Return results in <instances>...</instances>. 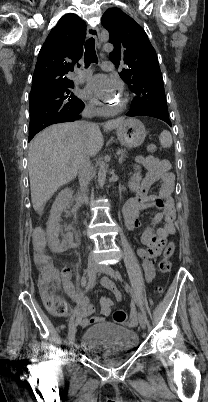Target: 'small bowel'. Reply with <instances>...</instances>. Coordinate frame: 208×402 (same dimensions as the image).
Returning a JSON list of instances; mask_svg holds the SVG:
<instances>
[{
	"label": "small bowel",
	"mask_w": 208,
	"mask_h": 402,
	"mask_svg": "<svg viewBox=\"0 0 208 402\" xmlns=\"http://www.w3.org/2000/svg\"><path fill=\"white\" fill-rule=\"evenodd\" d=\"M147 170L145 176L141 175L140 167ZM159 183V191L157 197L148 196L149 188ZM174 186V176L170 171V163L167 160L158 159L153 156H141L137 159V163L133 168V173L129 182V188L137 192V197L131 199L124 207V217L126 226L129 229H137L143 225V212L151 207L159 208V212L154 216L151 224L147 226L142 235L141 241L143 247L138 249V255L143 259V270L145 279L151 282L154 278V262L155 258L164 247L169 236L175 233V209L172 199V191ZM162 223V226L155 227ZM42 256H47L43 253ZM62 276L64 288L73 299L79 302L78 306L74 307L72 319L79 324L81 330H88L90 324H99L101 317L94 315L90 317L92 307L88 304L85 297L77 293L72 284V277L69 276L68 270H63ZM102 286L110 291L117 302L122 301L123 295L117 285L108 277L101 280ZM45 300L58 298L59 295H42ZM101 314L102 318L108 317L112 300L101 298Z\"/></svg>",
	"instance_id": "obj_1"
}]
</instances>
